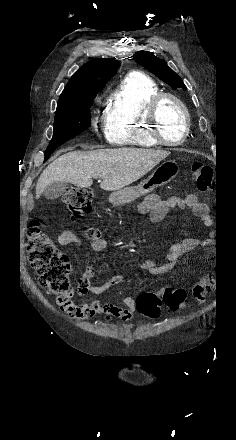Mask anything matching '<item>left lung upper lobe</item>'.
Instances as JSON below:
<instances>
[{
	"mask_svg": "<svg viewBox=\"0 0 236 440\" xmlns=\"http://www.w3.org/2000/svg\"><path fill=\"white\" fill-rule=\"evenodd\" d=\"M134 60L145 67L151 73L170 85L172 88L186 89L182 79L168 67L164 60L157 58L153 53L148 51H139L133 55Z\"/></svg>",
	"mask_w": 236,
	"mask_h": 440,
	"instance_id": "5c2ea615",
	"label": "left lung upper lobe"
}]
</instances>
